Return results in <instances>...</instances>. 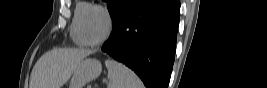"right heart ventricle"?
<instances>
[{
  "mask_svg": "<svg viewBox=\"0 0 267 88\" xmlns=\"http://www.w3.org/2000/svg\"><path fill=\"white\" fill-rule=\"evenodd\" d=\"M93 4L84 1H76L74 6L73 17L70 24V36L73 42L79 46H86L79 33V23L83 12L91 7Z\"/></svg>",
  "mask_w": 267,
  "mask_h": 88,
  "instance_id": "1",
  "label": "right heart ventricle"
}]
</instances>
